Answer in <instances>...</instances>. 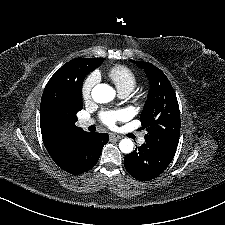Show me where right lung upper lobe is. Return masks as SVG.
<instances>
[{"mask_svg": "<svg viewBox=\"0 0 225 225\" xmlns=\"http://www.w3.org/2000/svg\"><path fill=\"white\" fill-rule=\"evenodd\" d=\"M94 58H76L65 63L48 81L41 99L40 105V128L44 145L57 165L63 164L69 154L73 141L85 133L73 122L54 125L49 123L43 114L42 106L48 95L59 99L58 87L62 86L71 76L80 71L87 74L93 71L92 62Z\"/></svg>", "mask_w": 225, "mask_h": 225, "instance_id": "right-lung-upper-lobe-1", "label": "right lung upper lobe"}]
</instances>
